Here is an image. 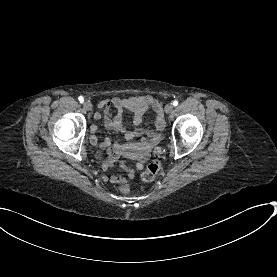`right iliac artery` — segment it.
<instances>
[{
  "instance_id": "obj_1",
  "label": "right iliac artery",
  "mask_w": 277,
  "mask_h": 277,
  "mask_svg": "<svg viewBox=\"0 0 277 277\" xmlns=\"http://www.w3.org/2000/svg\"><path fill=\"white\" fill-rule=\"evenodd\" d=\"M78 100H79L80 103H83L84 98H83L82 96H80V97L78 98Z\"/></svg>"
}]
</instances>
